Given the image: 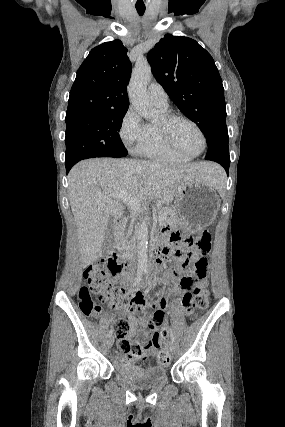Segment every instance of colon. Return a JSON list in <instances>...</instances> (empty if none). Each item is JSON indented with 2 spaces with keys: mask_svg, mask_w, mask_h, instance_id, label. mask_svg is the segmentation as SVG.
Listing matches in <instances>:
<instances>
[{
  "mask_svg": "<svg viewBox=\"0 0 285 427\" xmlns=\"http://www.w3.org/2000/svg\"><path fill=\"white\" fill-rule=\"evenodd\" d=\"M182 246L192 251L194 254H207L210 251V237L202 234L195 237H187L183 240ZM178 259L183 260L185 254L178 252ZM188 266L187 263L184 265ZM192 267L196 274H186L181 276L179 270H172V278L177 280L185 291L182 303L187 308L205 309L208 305V284L204 281L206 262L204 260H193ZM123 272V264L114 255L102 257L91 263L83 273L85 284L79 290L80 310L90 318H100L103 316V308L100 303L112 305H123L131 310L137 306L136 300L124 295L119 289H114L112 279H115ZM98 298L99 302L96 300ZM161 316V314H160ZM165 317V315H163ZM112 334L117 339V350L128 360L139 356L148 347V342H136L129 337L130 325L126 319H116L112 323ZM167 329L158 326L149 334L153 344L161 346L167 336ZM157 361L165 365L169 361L166 351H159Z\"/></svg>",
  "mask_w": 285,
  "mask_h": 427,
  "instance_id": "1",
  "label": "colon"
}]
</instances>
